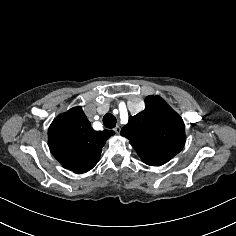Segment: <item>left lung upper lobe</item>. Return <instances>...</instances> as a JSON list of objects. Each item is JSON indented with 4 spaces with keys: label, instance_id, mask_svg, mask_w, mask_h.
I'll return each instance as SVG.
<instances>
[{
    "label": "left lung upper lobe",
    "instance_id": "obj_1",
    "mask_svg": "<svg viewBox=\"0 0 236 236\" xmlns=\"http://www.w3.org/2000/svg\"><path fill=\"white\" fill-rule=\"evenodd\" d=\"M142 161L161 166L178 154L186 140L182 118L159 96L145 99V110L129 117L121 130Z\"/></svg>",
    "mask_w": 236,
    "mask_h": 236
}]
</instances>
